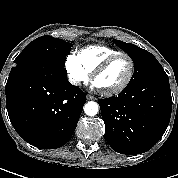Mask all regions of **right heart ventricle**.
<instances>
[{"label":"right heart ventricle","instance_id":"e07e8e85","mask_svg":"<svg viewBox=\"0 0 178 178\" xmlns=\"http://www.w3.org/2000/svg\"><path fill=\"white\" fill-rule=\"evenodd\" d=\"M121 53L119 50L103 45H90L78 52V57L89 73L103 62L106 58Z\"/></svg>","mask_w":178,"mask_h":178}]
</instances>
